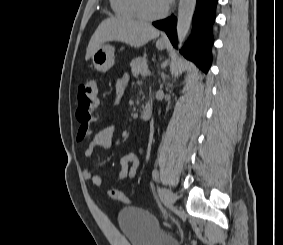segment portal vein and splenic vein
<instances>
[{
  "label": "portal vein and splenic vein",
  "mask_w": 283,
  "mask_h": 245,
  "mask_svg": "<svg viewBox=\"0 0 283 245\" xmlns=\"http://www.w3.org/2000/svg\"><path fill=\"white\" fill-rule=\"evenodd\" d=\"M142 76H147V75H150V71L149 70H145L141 73Z\"/></svg>",
  "instance_id": "obj_1"
}]
</instances>
